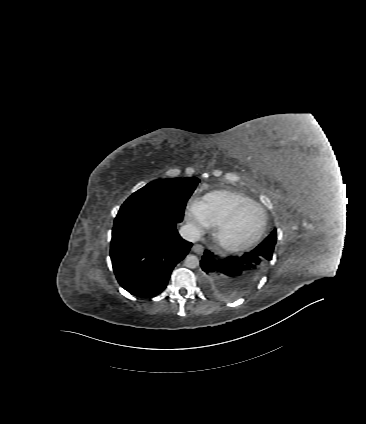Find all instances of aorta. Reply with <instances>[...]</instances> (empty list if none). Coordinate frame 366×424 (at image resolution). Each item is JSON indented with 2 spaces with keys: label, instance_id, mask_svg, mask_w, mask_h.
I'll use <instances>...</instances> for the list:
<instances>
[{
  "label": "aorta",
  "instance_id": "aorta-1",
  "mask_svg": "<svg viewBox=\"0 0 366 424\" xmlns=\"http://www.w3.org/2000/svg\"><path fill=\"white\" fill-rule=\"evenodd\" d=\"M199 265V259L197 256L189 254L185 258V266L190 269H194Z\"/></svg>",
  "mask_w": 366,
  "mask_h": 424
}]
</instances>
